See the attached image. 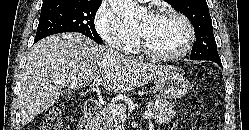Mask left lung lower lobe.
I'll use <instances>...</instances> for the list:
<instances>
[{"mask_svg": "<svg viewBox=\"0 0 249 130\" xmlns=\"http://www.w3.org/2000/svg\"><path fill=\"white\" fill-rule=\"evenodd\" d=\"M211 61H213V62H215V63H217L221 68H223V66H222V63H221V60L220 59H217V60H211Z\"/></svg>", "mask_w": 249, "mask_h": 130, "instance_id": "left-lung-lower-lobe-1", "label": "left lung lower lobe"}]
</instances>
